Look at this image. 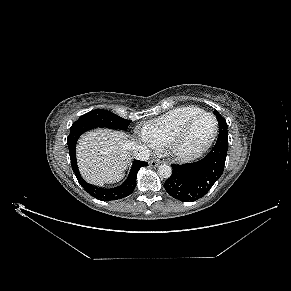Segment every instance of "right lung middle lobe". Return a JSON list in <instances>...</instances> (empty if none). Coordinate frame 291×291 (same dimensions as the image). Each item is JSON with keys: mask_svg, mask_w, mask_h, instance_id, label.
<instances>
[{"mask_svg": "<svg viewBox=\"0 0 291 291\" xmlns=\"http://www.w3.org/2000/svg\"><path fill=\"white\" fill-rule=\"evenodd\" d=\"M130 123V120L121 118L110 111L97 109L82 115L73 124L94 125L95 127L126 130Z\"/></svg>", "mask_w": 291, "mask_h": 291, "instance_id": "1", "label": "right lung middle lobe"}]
</instances>
